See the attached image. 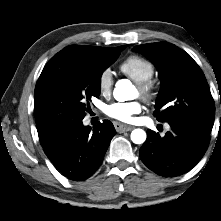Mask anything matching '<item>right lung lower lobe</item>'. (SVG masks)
I'll use <instances>...</instances> for the list:
<instances>
[{
	"label": "right lung lower lobe",
	"mask_w": 221,
	"mask_h": 221,
	"mask_svg": "<svg viewBox=\"0 0 221 221\" xmlns=\"http://www.w3.org/2000/svg\"><path fill=\"white\" fill-rule=\"evenodd\" d=\"M116 130L109 120L91 129L82 120L41 142L45 154L59 172L73 181L91 177L100 167Z\"/></svg>",
	"instance_id": "1"
}]
</instances>
